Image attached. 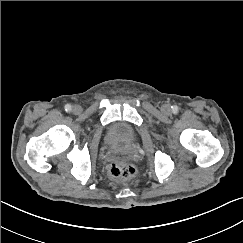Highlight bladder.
Instances as JSON below:
<instances>
[{
	"label": "bladder",
	"mask_w": 243,
	"mask_h": 243,
	"mask_svg": "<svg viewBox=\"0 0 243 243\" xmlns=\"http://www.w3.org/2000/svg\"><path fill=\"white\" fill-rule=\"evenodd\" d=\"M134 128L125 121H116L112 123L107 131L106 140L113 146H127L135 139Z\"/></svg>",
	"instance_id": "31cf9c89"
}]
</instances>
